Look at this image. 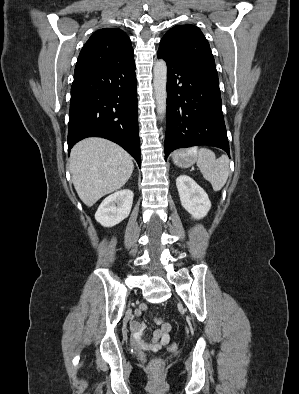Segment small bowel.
<instances>
[{"label":"small bowel","instance_id":"small-bowel-1","mask_svg":"<svg viewBox=\"0 0 299 394\" xmlns=\"http://www.w3.org/2000/svg\"><path fill=\"white\" fill-rule=\"evenodd\" d=\"M147 311V306L142 304L136 310L135 315L137 317L142 316L143 313ZM159 325L157 329L154 330L150 339L144 336L145 324L142 321H135L131 325L132 333V344L138 350L145 352H156L162 347L166 346L170 342V324L160 320H156Z\"/></svg>","mask_w":299,"mask_h":394}]
</instances>
